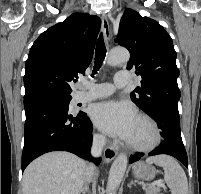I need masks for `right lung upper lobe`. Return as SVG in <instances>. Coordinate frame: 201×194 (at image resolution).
I'll list each match as a JSON object with an SVG mask.
<instances>
[{"label": "right lung upper lobe", "instance_id": "cb5924a9", "mask_svg": "<svg viewBox=\"0 0 201 194\" xmlns=\"http://www.w3.org/2000/svg\"><path fill=\"white\" fill-rule=\"evenodd\" d=\"M100 25L97 16L73 13L43 32L26 61L25 96L70 95V82L78 73L84 74L91 63Z\"/></svg>", "mask_w": 201, "mask_h": 194}]
</instances>
